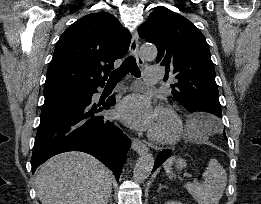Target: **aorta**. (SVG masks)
<instances>
[{
  "instance_id": "obj_1",
  "label": "aorta",
  "mask_w": 261,
  "mask_h": 204,
  "mask_svg": "<svg viewBox=\"0 0 261 204\" xmlns=\"http://www.w3.org/2000/svg\"><path fill=\"white\" fill-rule=\"evenodd\" d=\"M140 54L146 60H153L157 56V49L154 45H143L140 48ZM153 166H154V158L152 154L148 153L141 156L134 168V172H133L134 181L137 183L144 182L151 174Z\"/></svg>"
}]
</instances>
